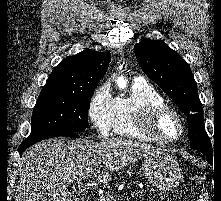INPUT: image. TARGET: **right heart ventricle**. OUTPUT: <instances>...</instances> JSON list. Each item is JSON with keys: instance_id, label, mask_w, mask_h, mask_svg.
Returning <instances> with one entry per match:
<instances>
[{"instance_id": "e07e8e85", "label": "right heart ventricle", "mask_w": 221, "mask_h": 201, "mask_svg": "<svg viewBox=\"0 0 221 201\" xmlns=\"http://www.w3.org/2000/svg\"><path fill=\"white\" fill-rule=\"evenodd\" d=\"M164 103L163 97L153 86L144 81H135L128 96L115 98L114 132L124 137L150 140L137 130L136 117L146 106Z\"/></svg>"}]
</instances>
